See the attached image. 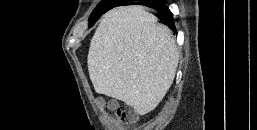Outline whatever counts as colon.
Here are the masks:
<instances>
[{"label": "colon", "instance_id": "5ec220e1", "mask_svg": "<svg viewBox=\"0 0 257 130\" xmlns=\"http://www.w3.org/2000/svg\"><path fill=\"white\" fill-rule=\"evenodd\" d=\"M111 118L113 121L123 125L134 124L138 120V116L134 109L127 105H121L117 107L112 112Z\"/></svg>", "mask_w": 257, "mask_h": 130}]
</instances>
